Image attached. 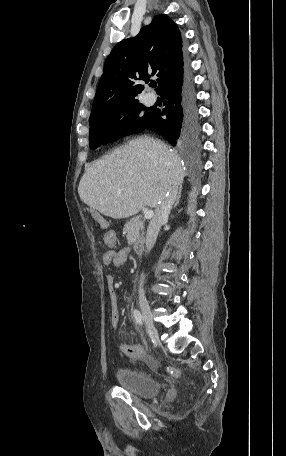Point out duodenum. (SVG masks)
<instances>
[{
    "label": "duodenum",
    "mask_w": 286,
    "mask_h": 456,
    "mask_svg": "<svg viewBox=\"0 0 286 456\" xmlns=\"http://www.w3.org/2000/svg\"><path fill=\"white\" fill-rule=\"evenodd\" d=\"M144 246H145L144 241L141 240V241L136 242L134 245L135 252L137 254H142L144 251Z\"/></svg>",
    "instance_id": "obj_1"
}]
</instances>
